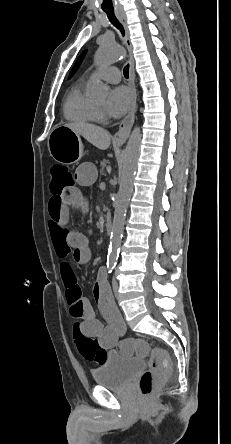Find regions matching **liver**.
<instances>
[{"label":"liver","mask_w":231,"mask_h":444,"mask_svg":"<svg viewBox=\"0 0 231 444\" xmlns=\"http://www.w3.org/2000/svg\"><path fill=\"white\" fill-rule=\"evenodd\" d=\"M74 133L83 136L88 142L101 150L109 148L111 143V135L109 132L99 126L87 123H70L65 124Z\"/></svg>","instance_id":"obj_1"}]
</instances>
